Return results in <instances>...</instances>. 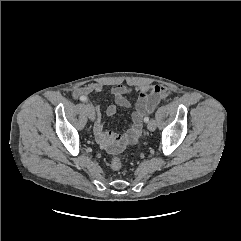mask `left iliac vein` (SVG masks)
Returning a JSON list of instances; mask_svg holds the SVG:
<instances>
[{
  "instance_id": "4c4485c4",
  "label": "left iliac vein",
  "mask_w": 241,
  "mask_h": 241,
  "mask_svg": "<svg viewBox=\"0 0 241 241\" xmlns=\"http://www.w3.org/2000/svg\"><path fill=\"white\" fill-rule=\"evenodd\" d=\"M147 128L150 130V131H154L156 129V122L154 119H151L148 124H147Z\"/></svg>"
}]
</instances>
